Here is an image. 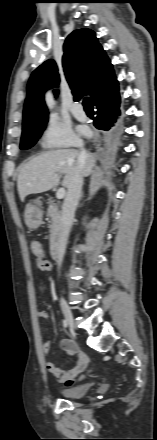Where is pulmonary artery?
<instances>
[{
    "instance_id": "e3ab8cb5",
    "label": "pulmonary artery",
    "mask_w": 157,
    "mask_h": 440,
    "mask_svg": "<svg viewBox=\"0 0 157 440\" xmlns=\"http://www.w3.org/2000/svg\"><path fill=\"white\" fill-rule=\"evenodd\" d=\"M70 111L78 119H81V120L86 119V116H85L84 111H83V107H82V105L80 103H78V102L72 103L71 106H70Z\"/></svg>"
}]
</instances>
